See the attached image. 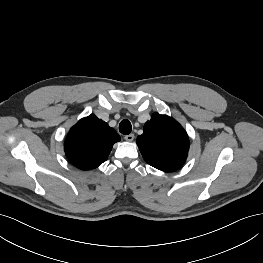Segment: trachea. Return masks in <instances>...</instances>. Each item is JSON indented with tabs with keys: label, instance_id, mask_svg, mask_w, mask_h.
<instances>
[{
	"label": "trachea",
	"instance_id": "obj_1",
	"mask_svg": "<svg viewBox=\"0 0 263 263\" xmlns=\"http://www.w3.org/2000/svg\"><path fill=\"white\" fill-rule=\"evenodd\" d=\"M131 130H132V125H131L129 120L124 119V120H122L120 122V124H119V131L122 134L128 135V134H130Z\"/></svg>",
	"mask_w": 263,
	"mask_h": 263
}]
</instances>
